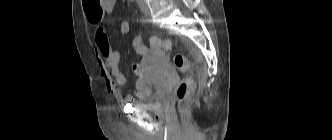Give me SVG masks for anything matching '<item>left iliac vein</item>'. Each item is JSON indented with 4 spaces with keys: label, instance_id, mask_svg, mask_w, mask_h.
Instances as JSON below:
<instances>
[{
    "label": "left iliac vein",
    "instance_id": "4c4485c4",
    "mask_svg": "<svg viewBox=\"0 0 332 140\" xmlns=\"http://www.w3.org/2000/svg\"><path fill=\"white\" fill-rule=\"evenodd\" d=\"M138 5L145 15L149 14V7L145 0H138Z\"/></svg>",
    "mask_w": 332,
    "mask_h": 140
}]
</instances>
